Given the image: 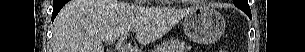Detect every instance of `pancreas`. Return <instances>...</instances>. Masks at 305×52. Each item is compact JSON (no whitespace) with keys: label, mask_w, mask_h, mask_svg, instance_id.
Instances as JSON below:
<instances>
[{"label":"pancreas","mask_w":305,"mask_h":52,"mask_svg":"<svg viewBox=\"0 0 305 52\" xmlns=\"http://www.w3.org/2000/svg\"><path fill=\"white\" fill-rule=\"evenodd\" d=\"M191 47L179 39H170L165 41L158 49L157 52H187Z\"/></svg>","instance_id":"1"}]
</instances>
